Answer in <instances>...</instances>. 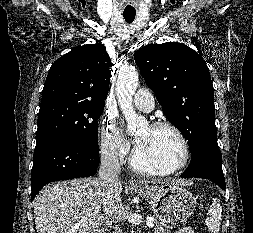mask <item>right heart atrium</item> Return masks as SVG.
I'll list each match as a JSON object with an SVG mask.
<instances>
[{
  "instance_id": "right-heart-atrium-1",
  "label": "right heart atrium",
  "mask_w": 253,
  "mask_h": 233,
  "mask_svg": "<svg viewBox=\"0 0 253 233\" xmlns=\"http://www.w3.org/2000/svg\"><path fill=\"white\" fill-rule=\"evenodd\" d=\"M100 150L103 154L117 160L123 159L129 152V143L112 119H106L101 126Z\"/></svg>"
}]
</instances>
